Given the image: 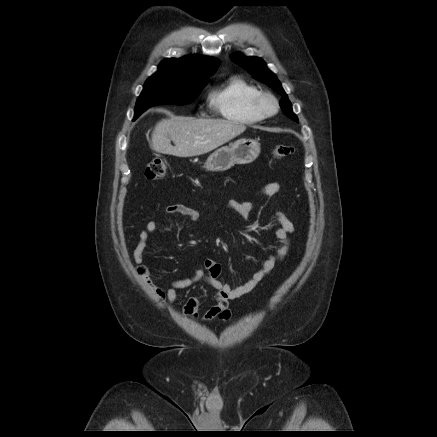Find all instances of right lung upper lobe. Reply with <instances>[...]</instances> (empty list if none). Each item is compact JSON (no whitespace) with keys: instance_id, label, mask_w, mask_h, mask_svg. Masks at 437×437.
<instances>
[{"instance_id":"cb5924a9","label":"right lung upper lobe","mask_w":437,"mask_h":437,"mask_svg":"<svg viewBox=\"0 0 437 437\" xmlns=\"http://www.w3.org/2000/svg\"><path fill=\"white\" fill-rule=\"evenodd\" d=\"M220 61L212 57L188 56L163 60L154 75H166L187 82L208 80L219 66Z\"/></svg>"}]
</instances>
